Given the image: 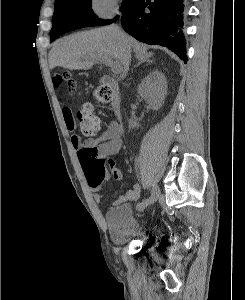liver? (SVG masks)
Wrapping results in <instances>:
<instances>
[{
    "label": "liver",
    "mask_w": 245,
    "mask_h": 300,
    "mask_svg": "<svg viewBox=\"0 0 245 300\" xmlns=\"http://www.w3.org/2000/svg\"><path fill=\"white\" fill-rule=\"evenodd\" d=\"M134 51L137 59H147L153 54L147 47L126 35L115 26L79 32L56 42L49 53V67L61 66L71 70H89L102 58L115 60L125 69L126 59Z\"/></svg>",
    "instance_id": "6515ba94"
}]
</instances>
